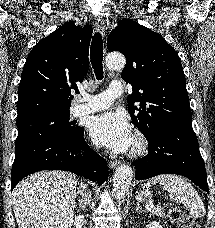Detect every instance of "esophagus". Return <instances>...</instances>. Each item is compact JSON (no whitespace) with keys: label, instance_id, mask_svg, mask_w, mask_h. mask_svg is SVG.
I'll use <instances>...</instances> for the list:
<instances>
[{"label":"esophagus","instance_id":"obj_1","mask_svg":"<svg viewBox=\"0 0 215 228\" xmlns=\"http://www.w3.org/2000/svg\"><path fill=\"white\" fill-rule=\"evenodd\" d=\"M95 27H96V30L100 32L102 36L105 35V22L101 15L96 16ZM117 165H118V162L116 161H112L109 163L110 168H115Z\"/></svg>","mask_w":215,"mask_h":228}]
</instances>
